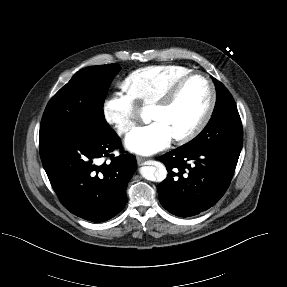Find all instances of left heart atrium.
<instances>
[{"label":"left heart atrium","instance_id":"left-heart-atrium-1","mask_svg":"<svg viewBox=\"0 0 287 287\" xmlns=\"http://www.w3.org/2000/svg\"><path fill=\"white\" fill-rule=\"evenodd\" d=\"M173 136L161 121L137 127L126 137V147L141 155H151L169 146Z\"/></svg>","mask_w":287,"mask_h":287}]
</instances>
